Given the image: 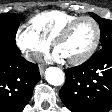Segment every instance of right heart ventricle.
I'll return each instance as SVG.
<instances>
[{"mask_svg": "<svg viewBox=\"0 0 112 112\" xmlns=\"http://www.w3.org/2000/svg\"><path fill=\"white\" fill-rule=\"evenodd\" d=\"M78 16L61 10L39 13L29 21V27L41 39L51 43L59 31Z\"/></svg>", "mask_w": 112, "mask_h": 112, "instance_id": "1", "label": "right heart ventricle"}]
</instances>
